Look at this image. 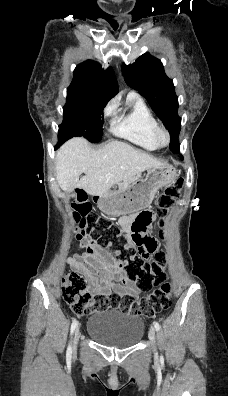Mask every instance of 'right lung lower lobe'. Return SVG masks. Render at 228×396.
I'll use <instances>...</instances> for the list:
<instances>
[{"instance_id":"1","label":"right lung lower lobe","mask_w":228,"mask_h":396,"mask_svg":"<svg viewBox=\"0 0 228 396\" xmlns=\"http://www.w3.org/2000/svg\"><path fill=\"white\" fill-rule=\"evenodd\" d=\"M62 143H63L62 141H59L58 146L61 145ZM58 146H57V147H58Z\"/></svg>"}]
</instances>
